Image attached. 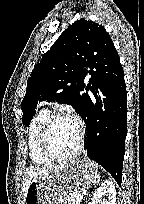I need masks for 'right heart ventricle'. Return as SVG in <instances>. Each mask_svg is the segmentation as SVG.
I'll return each mask as SVG.
<instances>
[{"mask_svg":"<svg viewBox=\"0 0 144 204\" xmlns=\"http://www.w3.org/2000/svg\"><path fill=\"white\" fill-rule=\"evenodd\" d=\"M49 115L50 113L47 109H41L34 115L28 128L27 144L29 156L32 163L38 166L48 165L53 161L44 155L40 147L41 132Z\"/></svg>","mask_w":144,"mask_h":204,"instance_id":"1","label":"right heart ventricle"}]
</instances>
